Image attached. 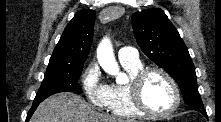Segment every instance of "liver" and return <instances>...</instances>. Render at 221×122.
Masks as SVG:
<instances>
[{
  "instance_id": "obj_1",
  "label": "liver",
  "mask_w": 221,
  "mask_h": 122,
  "mask_svg": "<svg viewBox=\"0 0 221 122\" xmlns=\"http://www.w3.org/2000/svg\"><path fill=\"white\" fill-rule=\"evenodd\" d=\"M30 122H135L132 119L109 117L95 112L81 97L59 93L45 99Z\"/></svg>"
}]
</instances>
